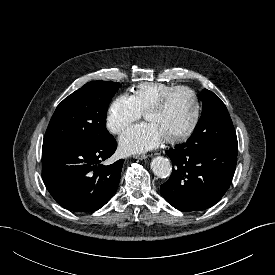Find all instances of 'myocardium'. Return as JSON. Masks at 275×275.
<instances>
[{
    "label": "myocardium",
    "mask_w": 275,
    "mask_h": 275,
    "mask_svg": "<svg viewBox=\"0 0 275 275\" xmlns=\"http://www.w3.org/2000/svg\"><path fill=\"white\" fill-rule=\"evenodd\" d=\"M178 91H187L191 94V96L193 98V102H194V112H193V117H192L191 123L184 132H182L176 136L164 138V140L168 143L184 142L188 138H190L192 136V134L194 133V131L196 130L198 123H199L200 111H201L200 100H199L197 92L189 86H185V85L174 86V87L170 88L169 90H167L166 92H164L153 104H151L148 107V109L144 113V116L146 117V115L150 112H156V111L161 110L165 106L168 99L174 93H176Z\"/></svg>",
    "instance_id": "1"
}]
</instances>
